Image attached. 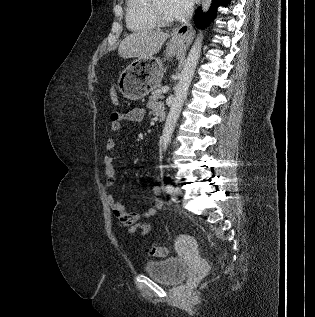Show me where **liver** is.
Segmentation results:
<instances>
[{
    "label": "liver",
    "instance_id": "obj_1",
    "mask_svg": "<svg viewBox=\"0 0 315 317\" xmlns=\"http://www.w3.org/2000/svg\"><path fill=\"white\" fill-rule=\"evenodd\" d=\"M168 38L169 34L161 31L131 33L121 41L118 54L124 59L133 57L150 59L160 51Z\"/></svg>",
    "mask_w": 315,
    "mask_h": 317
}]
</instances>
